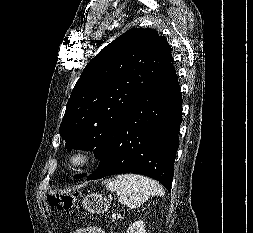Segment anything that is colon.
I'll use <instances>...</instances> for the list:
<instances>
[{"label":"colon","instance_id":"obj_1","mask_svg":"<svg viewBox=\"0 0 253 233\" xmlns=\"http://www.w3.org/2000/svg\"><path fill=\"white\" fill-rule=\"evenodd\" d=\"M48 204L52 210L67 211L73 208L78 201V195L70 194H51L47 197Z\"/></svg>","mask_w":253,"mask_h":233}]
</instances>
